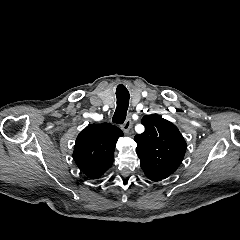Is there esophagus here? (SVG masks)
I'll use <instances>...</instances> for the list:
<instances>
[{
  "mask_svg": "<svg viewBox=\"0 0 240 240\" xmlns=\"http://www.w3.org/2000/svg\"><path fill=\"white\" fill-rule=\"evenodd\" d=\"M131 118L130 116H128V118L125 120V122L123 123V125L121 126L122 130L127 133L129 131V129L131 128Z\"/></svg>",
  "mask_w": 240,
  "mask_h": 240,
  "instance_id": "34e87169",
  "label": "esophagus"
}]
</instances>
